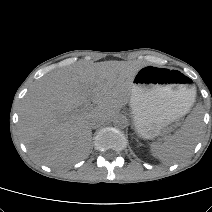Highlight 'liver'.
<instances>
[{"mask_svg":"<svg viewBox=\"0 0 212 212\" xmlns=\"http://www.w3.org/2000/svg\"><path fill=\"white\" fill-rule=\"evenodd\" d=\"M140 68L125 61L81 62L41 78L19 113V134L32 157L54 167L86 158L92 122L110 119L130 101ZM87 100L95 106L77 111Z\"/></svg>","mask_w":212,"mask_h":212,"instance_id":"liver-1","label":"liver"}]
</instances>
